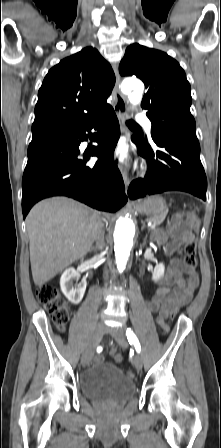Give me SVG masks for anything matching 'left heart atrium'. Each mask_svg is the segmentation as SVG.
<instances>
[{
  "label": "left heart atrium",
  "mask_w": 221,
  "mask_h": 448,
  "mask_svg": "<svg viewBox=\"0 0 221 448\" xmlns=\"http://www.w3.org/2000/svg\"><path fill=\"white\" fill-rule=\"evenodd\" d=\"M114 155L119 159V161L121 163L125 164L128 160V154H127L126 148L123 145H119L114 150Z\"/></svg>",
  "instance_id": "left-heart-atrium-1"
}]
</instances>
